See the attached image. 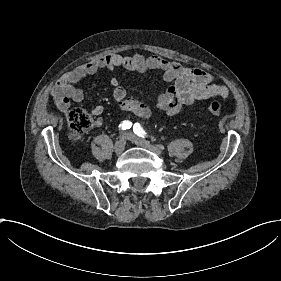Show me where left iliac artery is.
<instances>
[{
	"mask_svg": "<svg viewBox=\"0 0 281 281\" xmlns=\"http://www.w3.org/2000/svg\"><path fill=\"white\" fill-rule=\"evenodd\" d=\"M133 131L135 134H137L140 137L144 138V135L146 134L145 131H143V129L141 128L139 123H135L133 126Z\"/></svg>",
	"mask_w": 281,
	"mask_h": 281,
	"instance_id": "obj_1",
	"label": "left iliac artery"
}]
</instances>
